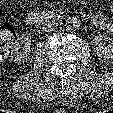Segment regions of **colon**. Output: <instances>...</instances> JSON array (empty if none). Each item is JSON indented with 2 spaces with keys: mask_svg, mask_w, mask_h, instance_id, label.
Wrapping results in <instances>:
<instances>
[{
  "mask_svg": "<svg viewBox=\"0 0 113 113\" xmlns=\"http://www.w3.org/2000/svg\"><path fill=\"white\" fill-rule=\"evenodd\" d=\"M13 36L14 34L10 29L0 27V60L4 57L9 48Z\"/></svg>",
  "mask_w": 113,
  "mask_h": 113,
  "instance_id": "colon-1",
  "label": "colon"
}]
</instances>
